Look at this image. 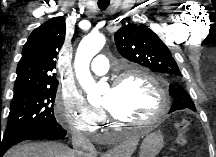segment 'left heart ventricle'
I'll list each match as a JSON object with an SVG mask.
<instances>
[{
	"label": "left heart ventricle",
	"mask_w": 216,
	"mask_h": 157,
	"mask_svg": "<svg viewBox=\"0 0 216 157\" xmlns=\"http://www.w3.org/2000/svg\"><path fill=\"white\" fill-rule=\"evenodd\" d=\"M102 105L114 115L130 121L151 118L159 106V97L152 85L139 77L127 78L118 88H110Z\"/></svg>",
	"instance_id": "left-heart-ventricle-1"
}]
</instances>
